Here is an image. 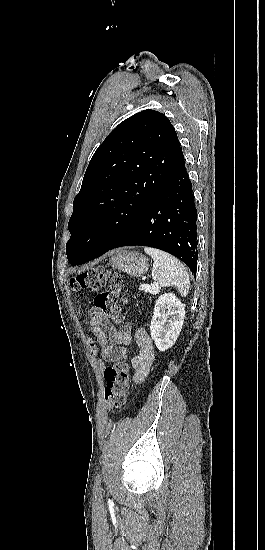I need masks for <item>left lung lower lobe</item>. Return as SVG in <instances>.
<instances>
[{
    "instance_id": "1",
    "label": "left lung lower lobe",
    "mask_w": 265,
    "mask_h": 550,
    "mask_svg": "<svg viewBox=\"0 0 265 550\" xmlns=\"http://www.w3.org/2000/svg\"><path fill=\"white\" fill-rule=\"evenodd\" d=\"M196 213L183 161L133 224L109 248L86 258L83 263L117 247L141 245L176 256L195 275L198 258Z\"/></svg>"
}]
</instances>
